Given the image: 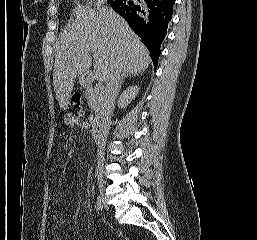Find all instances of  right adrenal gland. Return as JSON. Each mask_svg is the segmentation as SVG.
I'll use <instances>...</instances> for the list:
<instances>
[{"instance_id": "1", "label": "right adrenal gland", "mask_w": 257, "mask_h": 240, "mask_svg": "<svg viewBox=\"0 0 257 240\" xmlns=\"http://www.w3.org/2000/svg\"><path fill=\"white\" fill-rule=\"evenodd\" d=\"M133 76H135V75H124L123 77H122V80H121V83H120V86H119V92H120V90H121V87H122V84L124 83V81H125V79H127V78H131V77H133Z\"/></svg>"}]
</instances>
